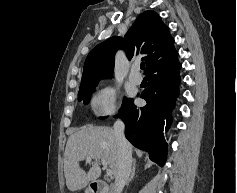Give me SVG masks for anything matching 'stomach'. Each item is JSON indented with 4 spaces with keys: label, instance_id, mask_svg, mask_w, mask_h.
<instances>
[{
    "label": "stomach",
    "instance_id": "0dacf381",
    "mask_svg": "<svg viewBox=\"0 0 237 193\" xmlns=\"http://www.w3.org/2000/svg\"><path fill=\"white\" fill-rule=\"evenodd\" d=\"M85 193H91V190L88 188Z\"/></svg>",
    "mask_w": 237,
    "mask_h": 193
}]
</instances>
